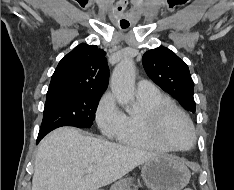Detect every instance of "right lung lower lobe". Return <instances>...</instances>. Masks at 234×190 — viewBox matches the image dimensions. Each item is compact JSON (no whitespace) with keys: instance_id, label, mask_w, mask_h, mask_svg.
<instances>
[{"instance_id":"right-lung-lower-lobe-1","label":"right lung lower lobe","mask_w":234,"mask_h":190,"mask_svg":"<svg viewBox=\"0 0 234 190\" xmlns=\"http://www.w3.org/2000/svg\"><path fill=\"white\" fill-rule=\"evenodd\" d=\"M43 137H44V136H42V135H38L37 143H38Z\"/></svg>"}]
</instances>
